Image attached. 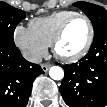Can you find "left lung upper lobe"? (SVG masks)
Masks as SVG:
<instances>
[{
  "label": "left lung upper lobe",
  "instance_id": "1",
  "mask_svg": "<svg viewBox=\"0 0 107 107\" xmlns=\"http://www.w3.org/2000/svg\"><path fill=\"white\" fill-rule=\"evenodd\" d=\"M73 5L90 18L94 27V37L107 31V11L104 8L87 2H76Z\"/></svg>",
  "mask_w": 107,
  "mask_h": 107
}]
</instances>
